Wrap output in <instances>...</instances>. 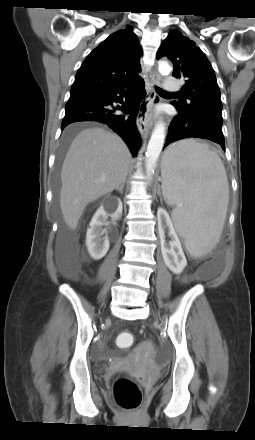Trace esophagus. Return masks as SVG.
<instances>
[{"instance_id":"1","label":"esophagus","mask_w":255,"mask_h":440,"mask_svg":"<svg viewBox=\"0 0 255 440\" xmlns=\"http://www.w3.org/2000/svg\"><path fill=\"white\" fill-rule=\"evenodd\" d=\"M160 81V75L156 72L152 73L145 100L141 103L137 115V127L141 135L149 132L154 124L155 106L160 103V97L157 95L155 87L160 84Z\"/></svg>"}]
</instances>
